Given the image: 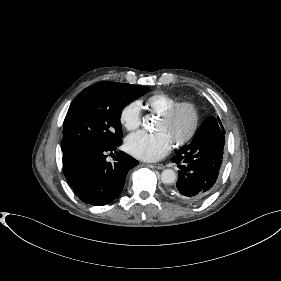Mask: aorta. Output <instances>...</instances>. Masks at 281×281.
Masks as SVG:
<instances>
[{
	"label": "aorta",
	"instance_id": "aorta-1",
	"mask_svg": "<svg viewBox=\"0 0 281 281\" xmlns=\"http://www.w3.org/2000/svg\"><path fill=\"white\" fill-rule=\"evenodd\" d=\"M143 127L148 128L150 125L149 117L146 116L143 118L142 122ZM177 179V175L174 170L172 169H165L161 173V181L164 184H173Z\"/></svg>",
	"mask_w": 281,
	"mask_h": 281
}]
</instances>
